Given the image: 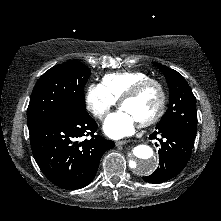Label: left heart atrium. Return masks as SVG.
<instances>
[{
    "mask_svg": "<svg viewBox=\"0 0 221 221\" xmlns=\"http://www.w3.org/2000/svg\"><path fill=\"white\" fill-rule=\"evenodd\" d=\"M137 125V120L121 108L106 119L103 129L110 138L120 139L133 134Z\"/></svg>",
    "mask_w": 221,
    "mask_h": 221,
    "instance_id": "left-heart-atrium-1",
    "label": "left heart atrium"
}]
</instances>
